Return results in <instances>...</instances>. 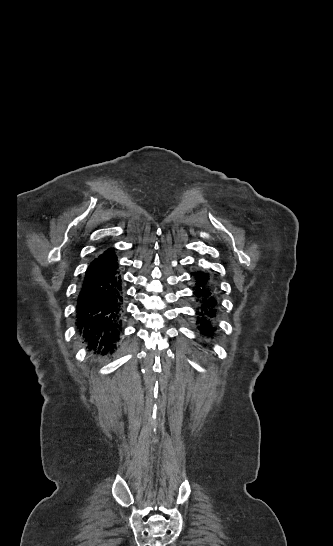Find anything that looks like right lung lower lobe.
<instances>
[{"label": "right lung lower lobe", "mask_w": 333, "mask_h": 546, "mask_svg": "<svg viewBox=\"0 0 333 546\" xmlns=\"http://www.w3.org/2000/svg\"><path fill=\"white\" fill-rule=\"evenodd\" d=\"M124 286L115 253L108 249L94 259L80 284L76 327L89 350L112 353L122 332Z\"/></svg>", "instance_id": "98d812e1"}]
</instances>
